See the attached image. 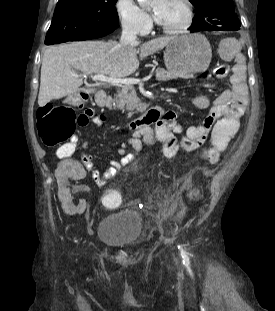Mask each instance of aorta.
Listing matches in <instances>:
<instances>
[{
    "mask_svg": "<svg viewBox=\"0 0 275 311\" xmlns=\"http://www.w3.org/2000/svg\"><path fill=\"white\" fill-rule=\"evenodd\" d=\"M141 7H147L151 5L155 0H137Z\"/></svg>",
    "mask_w": 275,
    "mask_h": 311,
    "instance_id": "obj_1",
    "label": "aorta"
}]
</instances>
